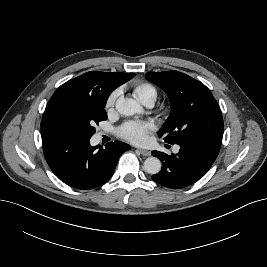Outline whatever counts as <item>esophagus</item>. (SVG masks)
Returning a JSON list of instances; mask_svg holds the SVG:
<instances>
[{
	"mask_svg": "<svg viewBox=\"0 0 267 267\" xmlns=\"http://www.w3.org/2000/svg\"><path fill=\"white\" fill-rule=\"evenodd\" d=\"M138 151L140 152V154H142L143 156H150L151 153L148 150L145 149H138Z\"/></svg>",
	"mask_w": 267,
	"mask_h": 267,
	"instance_id": "obj_1",
	"label": "esophagus"
}]
</instances>
